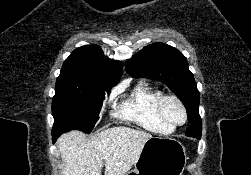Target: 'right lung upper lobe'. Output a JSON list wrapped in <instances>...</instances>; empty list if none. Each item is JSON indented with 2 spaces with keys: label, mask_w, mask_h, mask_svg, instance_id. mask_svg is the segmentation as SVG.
I'll list each match as a JSON object with an SVG mask.
<instances>
[{
  "label": "right lung upper lobe",
  "mask_w": 251,
  "mask_h": 175,
  "mask_svg": "<svg viewBox=\"0 0 251 175\" xmlns=\"http://www.w3.org/2000/svg\"><path fill=\"white\" fill-rule=\"evenodd\" d=\"M121 70L122 64L105 57L99 46L86 45L64 61L57 82L112 88L119 82Z\"/></svg>",
  "instance_id": "1"
}]
</instances>
